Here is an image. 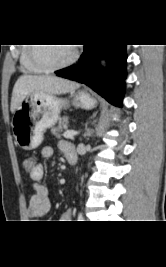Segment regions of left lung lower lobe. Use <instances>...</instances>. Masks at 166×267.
Returning a JSON list of instances; mask_svg holds the SVG:
<instances>
[{
  "label": "left lung lower lobe",
  "instance_id": "obj_1",
  "mask_svg": "<svg viewBox=\"0 0 166 267\" xmlns=\"http://www.w3.org/2000/svg\"><path fill=\"white\" fill-rule=\"evenodd\" d=\"M105 58L107 68L100 66ZM126 45H85L81 61L56 75L83 83L111 104L121 106L126 79Z\"/></svg>",
  "mask_w": 166,
  "mask_h": 267
}]
</instances>
